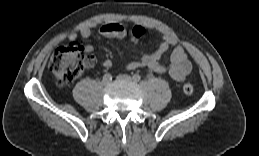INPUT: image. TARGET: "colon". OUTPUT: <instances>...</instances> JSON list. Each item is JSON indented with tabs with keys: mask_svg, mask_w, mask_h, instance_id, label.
Masks as SVG:
<instances>
[{
	"mask_svg": "<svg viewBox=\"0 0 259 156\" xmlns=\"http://www.w3.org/2000/svg\"><path fill=\"white\" fill-rule=\"evenodd\" d=\"M144 32L143 28L135 27L129 33L140 38ZM92 61V58L85 54L81 45L71 43L58 48L53 53L49 61V70L55 77L57 85L65 87L72 83L86 67L90 66ZM182 90L186 95H191L194 92V86L190 82H185Z\"/></svg>",
	"mask_w": 259,
	"mask_h": 156,
	"instance_id": "1",
	"label": "colon"
}]
</instances>
